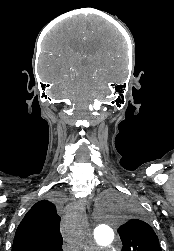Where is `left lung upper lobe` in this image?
<instances>
[{"instance_id":"left-lung-upper-lobe-1","label":"left lung upper lobe","mask_w":174,"mask_h":251,"mask_svg":"<svg viewBox=\"0 0 174 251\" xmlns=\"http://www.w3.org/2000/svg\"><path fill=\"white\" fill-rule=\"evenodd\" d=\"M122 251H162L159 240L149 224L135 217L119 227Z\"/></svg>"}]
</instances>
